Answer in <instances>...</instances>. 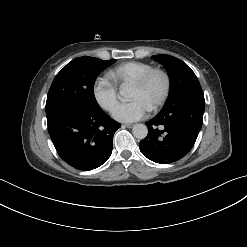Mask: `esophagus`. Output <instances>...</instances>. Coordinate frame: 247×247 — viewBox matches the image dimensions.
<instances>
[{"instance_id": "esophagus-1", "label": "esophagus", "mask_w": 247, "mask_h": 247, "mask_svg": "<svg viewBox=\"0 0 247 247\" xmlns=\"http://www.w3.org/2000/svg\"><path fill=\"white\" fill-rule=\"evenodd\" d=\"M123 127H126V128H132L134 126V124H123L122 125Z\"/></svg>"}]
</instances>
